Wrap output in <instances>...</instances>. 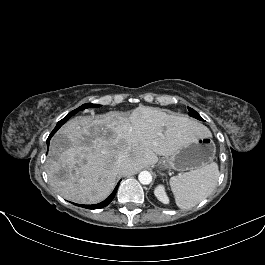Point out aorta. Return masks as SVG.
I'll list each match as a JSON object with an SVG mask.
<instances>
[{
	"label": "aorta",
	"instance_id": "762f6f07",
	"mask_svg": "<svg viewBox=\"0 0 265 265\" xmlns=\"http://www.w3.org/2000/svg\"><path fill=\"white\" fill-rule=\"evenodd\" d=\"M138 180L143 185H148L152 182V175L148 171H142L138 175Z\"/></svg>",
	"mask_w": 265,
	"mask_h": 265
}]
</instances>
